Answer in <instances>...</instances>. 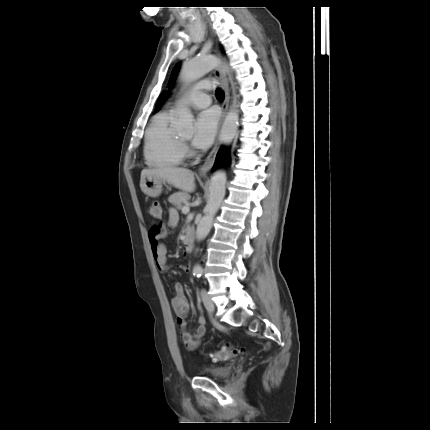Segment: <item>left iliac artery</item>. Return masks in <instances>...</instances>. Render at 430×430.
I'll list each match as a JSON object with an SVG mask.
<instances>
[{
    "mask_svg": "<svg viewBox=\"0 0 430 430\" xmlns=\"http://www.w3.org/2000/svg\"><path fill=\"white\" fill-rule=\"evenodd\" d=\"M202 272L203 271L201 269H196V270L193 271V275L196 276V277H201Z\"/></svg>",
    "mask_w": 430,
    "mask_h": 430,
    "instance_id": "obj_1",
    "label": "left iliac artery"
}]
</instances>
